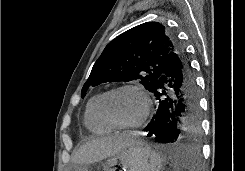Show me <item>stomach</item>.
<instances>
[{
    "label": "stomach",
    "mask_w": 245,
    "mask_h": 171,
    "mask_svg": "<svg viewBox=\"0 0 245 171\" xmlns=\"http://www.w3.org/2000/svg\"><path fill=\"white\" fill-rule=\"evenodd\" d=\"M162 166L160 154L140 142L122 149L103 163L105 171H160ZM74 171L89 170L86 166H77Z\"/></svg>",
    "instance_id": "1"
}]
</instances>
